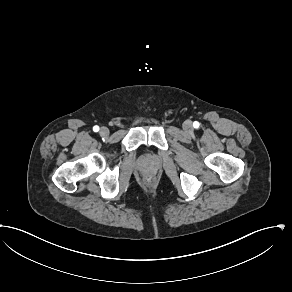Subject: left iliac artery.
<instances>
[{"label":"left iliac artery","instance_id":"1","mask_svg":"<svg viewBox=\"0 0 292 292\" xmlns=\"http://www.w3.org/2000/svg\"><path fill=\"white\" fill-rule=\"evenodd\" d=\"M193 126H194V128H198V127H199V123H198L197 121H195V122L193 123Z\"/></svg>","mask_w":292,"mask_h":292}]
</instances>
